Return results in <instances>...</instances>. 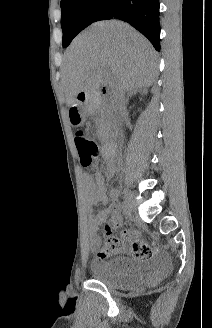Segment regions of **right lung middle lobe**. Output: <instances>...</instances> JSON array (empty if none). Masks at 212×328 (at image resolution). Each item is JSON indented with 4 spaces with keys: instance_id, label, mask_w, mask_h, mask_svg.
I'll use <instances>...</instances> for the list:
<instances>
[{
    "instance_id": "dd1d6c3e",
    "label": "right lung middle lobe",
    "mask_w": 212,
    "mask_h": 328,
    "mask_svg": "<svg viewBox=\"0 0 212 328\" xmlns=\"http://www.w3.org/2000/svg\"><path fill=\"white\" fill-rule=\"evenodd\" d=\"M104 0H61V27L63 47H67L73 38L93 23L95 13Z\"/></svg>"
}]
</instances>
